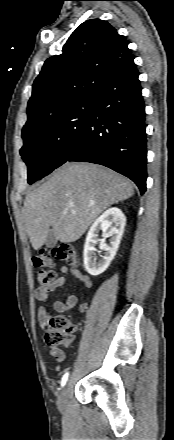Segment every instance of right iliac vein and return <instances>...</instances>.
<instances>
[{"label":"right iliac vein","instance_id":"right-iliac-vein-1","mask_svg":"<svg viewBox=\"0 0 174 440\" xmlns=\"http://www.w3.org/2000/svg\"><path fill=\"white\" fill-rule=\"evenodd\" d=\"M68 392H69V384H66L61 390L57 399V407L61 413L65 412L66 410Z\"/></svg>","mask_w":174,"mask_h":440}]
</instances>
